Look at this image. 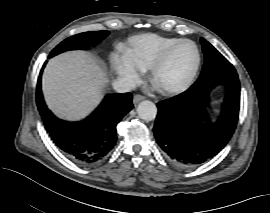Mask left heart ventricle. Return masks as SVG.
<instances>
[{
  "mask_svg": "<svg viewBox=\"0 0 270 213\" xmlns=\"http://www.w3.org/2000/svg\"><path fill=\"white\" fill-rule=\"evenodd\" d=\"M196 64V53L191 44L176 46L155 75V85L160 88L181 84L192 73Z\"/></svg>",
  "mask_w": 270,
  "mask_h": 213,
  "instance_id": "b2bd125f",
  "label": "left heart ventricle"
}]
</instances>
